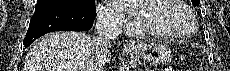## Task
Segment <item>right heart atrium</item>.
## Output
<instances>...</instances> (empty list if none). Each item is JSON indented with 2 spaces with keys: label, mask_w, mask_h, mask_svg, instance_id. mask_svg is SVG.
I'll list each match as a JSON object with an SVG mask.
<instances>
[{
  "label": "right heart atrium",
  "mask_w": 230,
  "mask_h": 71,
  "mask_svg": "<svg viewBox=\"0 0 230 71\" xmlns=\"http://www.w3.org/2000/svg\"><path fill=\"white\" fill-rule=\"evenodd\" d=\"M98 17L103 24L115 30L121 31L129 26V22L122 11L114 6H99Z\"/></svg>",
  "instance_id": "right-heart-atrium-1"
}]
</instances>
